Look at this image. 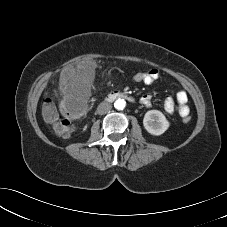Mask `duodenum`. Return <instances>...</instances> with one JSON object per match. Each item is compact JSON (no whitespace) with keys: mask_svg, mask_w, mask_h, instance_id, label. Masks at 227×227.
I'll return each mask as SVG.
<instances>
[{"mask_svg":"<svg viewBox=\"0 0 227 227\" xmlns=\"http://www.w3.org/2000/svg\"><path fill=\"white\" fill-rule=\"evenodd\" d=\"M117 98H126L127 100L133 102L134 101V97L126 92L123 91H114L112 93H110L107 97V101L111 102Z\"/></svg>","mask_w":227,"mask_h":227,"instance_id":"duodenum-1","label":"duodenum"}]
</instances>
